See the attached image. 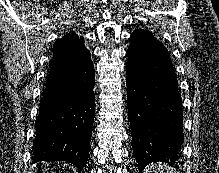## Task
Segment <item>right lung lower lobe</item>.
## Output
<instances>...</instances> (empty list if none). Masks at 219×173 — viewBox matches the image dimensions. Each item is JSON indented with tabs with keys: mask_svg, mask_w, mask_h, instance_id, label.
<instances>
[{
	"mask_svg": "<svg viewBox=\"0 0 219 173\" xmlns=\"http://www.w3.org/2000/svg\"><path fill=\"white\" fill-rule=\"evenodd\" d=\"M35 122L34 162L67 161L82 170L95 116L94 66L90 52L66 64L54 58Z\"/></svg>",
	"mask_w": 219,
	"mask_h": 173,
	"instance_id": "98d812e1",
	"label": "right lung lower lobe"
}]
</instances>
